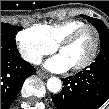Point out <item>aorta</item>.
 Masks as SVG:
<instances>
[{
	"label": "aorta",
	"instance_id": "762f6f07",
	"mask_svg": "<svg viewBox=\"0 0 109 109\" xmlns=\"http://www.w3.org/2000/svg\"><path fill=\"white\" fill-rule=\"evenodd\" d=\"M62 83L58 77H51L47 81V88L52 93H58L61 90Z\"/></svg>",
	"mask_w": 109,
	"mask_h": 109
}]
</instances>
